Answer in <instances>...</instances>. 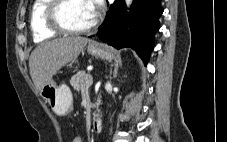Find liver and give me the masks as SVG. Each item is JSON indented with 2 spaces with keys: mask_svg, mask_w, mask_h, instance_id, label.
Returning a JSON list of instances; mask_svg holds the SVG:
<instances>
[{
  "mask_svg": "<svg viewBox=\"0 0 227 142\" xmlns=\"http://www.w3.org/2000/svg\"><path fill=\"white\" fill-rule=\"evenodd\" d=\"M89 40L80 36L56 38L37 46L30 55L29 69L34 85L41 92L43 85L59 69L79 56Z\"/></svg>",
  "mask_w": 227,
  "mask_h": 142,
  "instance_id": "obj_1",
  "label": "liver"
}]
</instances>
